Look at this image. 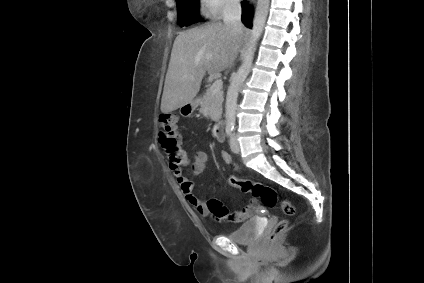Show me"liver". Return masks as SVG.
Masks as SVG:
<instances>
[{"mask_svg": "<svg viewBox=\"0 0 424 283\" xmlns=\"http://www.w3.org/2000/svg\"><path fill=\"white\" fill-rule=\"evenodd\" d=\"M243 31L235 34L221 22L194 27L176 37L166 74L161 112L194 101L206 72L217 74L235 62Z\"/></svg>", "mask_w": 424, "mask_h": 283, "instance_id": "6515ba94", "label": "liver"}]
</instances>
